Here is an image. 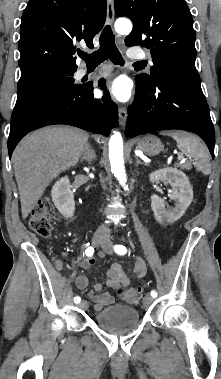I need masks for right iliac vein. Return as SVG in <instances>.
Masks as SVG:
<instances>
[{
	"instance_id": "63e3f726",
	"label": "right iliac vein",
	"mask_w": 221,
	"mask_h": 379,
	"mask_svg": "<svg viewBox=\"0 0 221 379\" xmlns=\"http://www.w3.org/2000/svg\"><path fill=\"white\" fill-rule=\"evenodd\" d=\"M104 238L101 236V235H94L93 238H92V243L94 246H99V245H102L104 243ZM79 307L81 309H86L88 307V304L85 300H83L80 304H79Z\"/></svg>"
}]
</instances>
